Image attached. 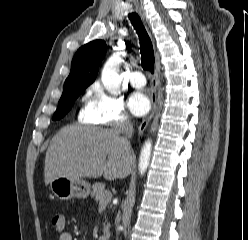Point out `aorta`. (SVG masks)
<instances>
[{"label":"aorta","mask_w":248,"mask_h":240,"mask_svg":"<svg viewBox=\"0 0 248 240\" xmlns=\"http://www.w3.org/2000/svg\"><path fill=\"white\" fill-rule=\"evenodd\" d=\"M121 58L119 54H114L111 56L105 63L102 73L101 81L105 89L113 94L117 95L120 89V77H119V65ZM152 152V142L150 140L146 141L144 146L141 149L139 157V172L144 174L149 166L150 158Z\"/></svg>","instance_id":"aorta-1"}]
</instances>
